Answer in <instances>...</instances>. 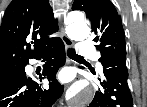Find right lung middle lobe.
<instances>
[{"label": "right lung middle lobe", "instance_id": "1", "mask_svg": "<svg viewBox=\"0 0 147 107\" xmlns=\"http://www.w3.org/2000/svg\"><path fill=\"white\" fill-rule=\"evenodd\" d=\"M24 72V66H14L4 69H0V82H3L13 76L22 74Z\"/></svg>", "mask_w": 147, "mask_h": 107}]
</instances>
